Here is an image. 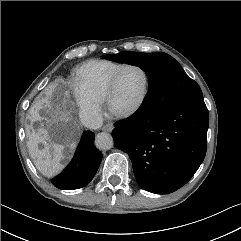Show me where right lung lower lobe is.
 I'll use <instances>...</instances> for the list:
<instances>
[{
	"label": "right lung lower lobe",
	"mask_w": 241,
	"mask_h": 241,
	"mask_svg": "<svg viewBox=\"0 0 241 241\" xmlns=\"http://www.w3.org/2000/svg\"><path fill=\"white\" fill-rule=\"evenodd\" d=\"M101 160L102 153L94 145V133L86 131L82 134L72 161L51 182L59 189L85 187L95 176Z\"/></svg>",
	"instance_id": "obj_1"
}]
</instances>
